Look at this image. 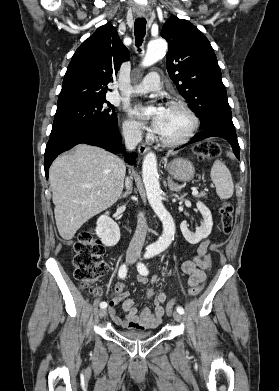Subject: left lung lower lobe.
Masks as SVG:
<instances>
[{"mask_svg": "<svg viewBox=\"0 0 279 391\" xmlns=\"http://www.w3.org/2000/svg\"><path fill=\"white\" fill-rule=\"evenodd\" d=\"M209 137H221L226 139L232 146L235 156L239 159L240 147L237 141L236 132L221 127H209L202 132L197 133L188 144L209 138ZM187 145V144H186ZM185 146V145H184ZM183 147V146H181Z\"/></svg>", "mask_w": 279, "mask_h": 391, "instance_id": "0a47b994", "label": "left lung lower lobe"}]
</instances>
